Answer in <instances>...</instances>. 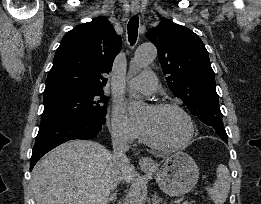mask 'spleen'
<instances>
[{"instance_id":"obj_1","label":"spleen","mask_w":261,"mask_h":204,"mask_svg":"<svg viewBox=\"0 0 261 204\" xmlns=\"http://www.w3.org/2000/svg\"><path fill=\"white\" fill-rule=\"evenodd\" d=\"M217 179L212 187H206L207 193L215 204H224L230 190V174L228 168L220 164L216 169Z\"/></svg>"}]
</instances>
